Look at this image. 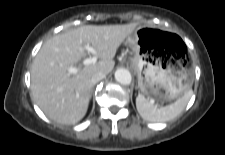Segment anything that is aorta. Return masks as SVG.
Listing matches in <instances>:
<instances>
[{
  "mask_svg": "<svg viewBox=\"0 0 225 155\" xmlns=\"http://www.w3.org/2000/svg\"><path fill=\"white\" fill-rule=\"evenodd\" d=\"M115 79L122 85H129L131 83L132 77L127 69L120 68L115 72Z\"/></svg>",
  "mask_w": 225,
  "mask_h": 155,
  "instance_id": "obj_1",
  "label": "aorta"
}]
</instances>
